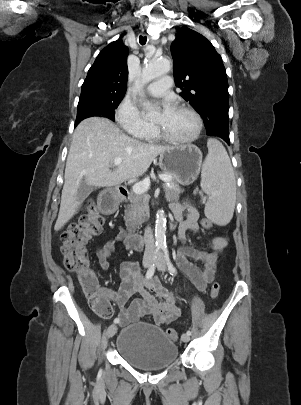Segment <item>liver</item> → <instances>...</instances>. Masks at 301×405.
I'll list each match as a JSON object with an SVG mask.
<instances>
[{
	"label": "liver",
	"instance_id": "liver-1",
	"mask_svg": "<svg viewBox=\"0 0 301 405\" xmlns=\"http://www.w3.org/2000/svg\"><path fill=\"white\" fill-rule=\"evenodd\" d=\"M170 148L133 139L106 118L83 120L74 131L67 156L55 230L59 231L77 213L80 205L77 193L83 179L90 186H118L142 176L152 161ZM116 157L122 163L111 170Z\"/></svg>",
	"mask_w": 301,
	"mask_h": 405
}]
</instances>
